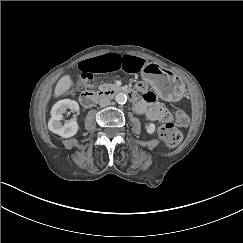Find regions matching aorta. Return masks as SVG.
Returning a JSON list of instances; mask_svg holds the SVG:
<instances>
[{"instance_id":"obj_1","label":"aorta","mask_w":243,"mask_h":243,"mask_svg":"<svg viewBox=\"0 0 243 243\" xmlns=\"http://www.w3.org/2000/svg\"><path fill=\"white\" fill-rule=\"evenodd\" d=\"M115 101H116L118 104H124V103H126V101H127V96H126V94H124V93H118V94L115 96Z\"/></svg>"}]
</instances>
